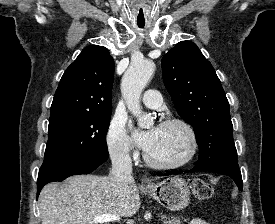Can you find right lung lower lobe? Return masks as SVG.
Segmentation results:
<instances>
[{"instance_id": "1", "label": "right lung lower lobe", "mask_w": 275, "mask_h": 224, "mask_svg": "<svg viewBox=\"0 0 275 224\" xmlns=\"http://www.w3.org/2000/svg\"><path fill=\"white\" fill-rule=\"evenodd\" d=\"M109 157L108 150L82 157L65 158L42 164L37 180V196L49 182L63 181L76 174H89L104 163Z\"/></svg>"}]
</instances>
